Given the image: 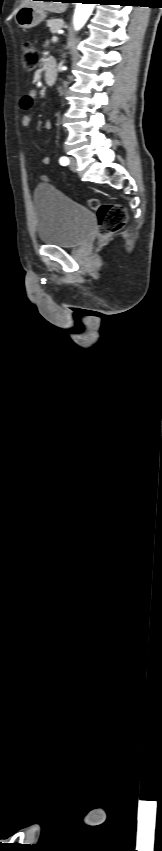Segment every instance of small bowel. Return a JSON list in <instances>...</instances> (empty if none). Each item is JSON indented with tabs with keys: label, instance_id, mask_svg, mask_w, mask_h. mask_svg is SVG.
<instances>
[{
	"label": "small bowel",
	"instance_id": "c3829d8e",
	"mask_svg": "<svg viewBox=\"0 0 162 851\" xmlns=\"http://www.w3.org/2000/svg\"><path fill=\"white\" fill-rule=\"evenodd\" d=\"M36 95H37L36 91L31 90L25 96H23L20 100L21 109L29 110L33 105V102L36 98ZM30 122H31V117L28 114H23L22 117H21L22 126L26 128L30 125ZM50 127H51V122L47 121L46 124H45V128L49 129ZM42 163L44 165H49L50 164L49 157H43Z\"/></svg>",
	"mask_w": 162,
	"mask_h": 851
}]
</instances>
